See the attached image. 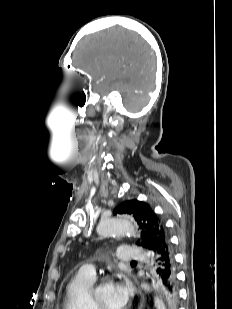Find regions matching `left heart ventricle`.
<instances>
[{"label": "left heart ventricle", "instance_id": "left-heart-ventricle-1", "mask_svg": "<svg viewBox=\"0 0 232 309\" xmlns=\"http://www.w3.org/2000/svg\"><path fill=\"white\" fill-rule=\"evenodd\" d=\"M97 298L104 309H125L120 300L116 283H108L97 290Z\"/></svg>", "mask_w": 232, "mask_h": 309}]
</instances>
